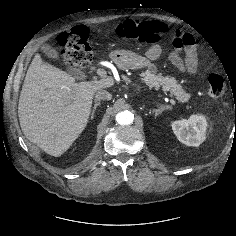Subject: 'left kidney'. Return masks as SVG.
<instances>
[{
    "instance_id": "obj_1",
    "label": "left kidney",
    "mask_w": 236,
    "mask_h": 236,
    "mask_svg": "<svg viewBox=\"0 0 236 236\" xmlns=\"http://www.w3.org/2000/svg\"><path fill=\"white\" fill-rule=\"evenodd\" d=\"M171 126L177 139L187 146L197 147L206 139L208 122L201 114L174 121Z\"/></svg>"
}]
</instances>
